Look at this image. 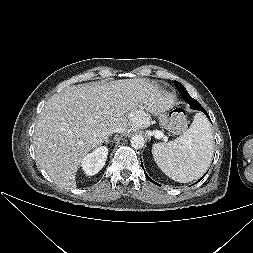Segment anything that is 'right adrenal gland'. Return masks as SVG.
<instances>
[{
	"mask_svg": "<svg viewBox=\"0 0 253 253\" xmlns=\"http://www.w3.org/2000/svg\"><path fill=\"white\" fill-rule=\"evenodd\" d=\"M109 136H106L105 138H104V140H103V142H105V144H109V138H108Z\"/></svg>",
	"mask_w": 253,
	"mask_h": 253,
	"instance_id": "1",
	"label": "right adrenal gland"
}]
</instances>
